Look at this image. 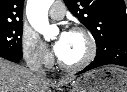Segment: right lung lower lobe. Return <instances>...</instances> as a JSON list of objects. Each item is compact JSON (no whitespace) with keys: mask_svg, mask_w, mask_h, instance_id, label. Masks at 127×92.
Listing matches in <instances>:
<instances>
[{"mask_svg":"<svg viewBox=\"0 0 127 92\" xmlns=\"http://www.w3.org/2000/svg\"><path fill=\"white\" fill-rule=\"evenodd\" d=\"M0 57L10 60L12 62H17L22 58V52L16 53L0 48Z\"/></svg>","mask_w":127,"mask_h":92,"instance_id":"right-lung-lower-lobe-1","label":"right lung lower lobe"}]
</instances>
